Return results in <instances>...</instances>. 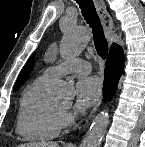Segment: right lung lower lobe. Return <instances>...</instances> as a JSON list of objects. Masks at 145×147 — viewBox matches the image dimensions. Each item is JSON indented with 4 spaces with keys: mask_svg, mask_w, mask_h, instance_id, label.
I'll return each mask as SVG.
<instances>
[{
    "mask_svg": "<svg viewBox=\"0 0 145 147\" xmlns=\"http://www.w3.org/2000/svg\"><path fill=\"white\" fill-rule=\"evenodd\" d=\"M123 66L124 54L122 48L114 43L110 48L104 72L103 96L106 100L113 97L123 72Z\"/></svg>",
    "mask_w": 145,
    "mask_h": 147,
    "instance_id": "98d812e1",
    "label": "right lung lower lobe"
}]
</instances>
